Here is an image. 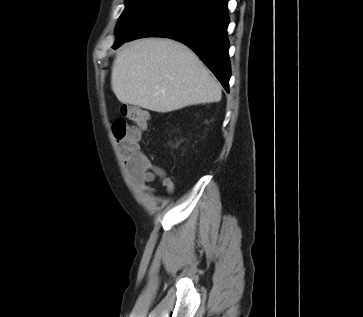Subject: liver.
I'll return each mask as SVG.
<instances>
[{
  "instance_id": "6515ba94",
  "label": "liver",
  "mask_w": 363,
  "mask_h": 317,
  "mask_svg": "<svg viewBox=\"0 0 363 317\" xmlns=\"http://www.w3.org/2000/svg\"><path fill=\"white\" fill-rule=\"evenodd\" d=\"M111 86L121 103L155 112L221 100V86L185 45L145 38L125 45L116 55Z\"/></svg>"
}]
</instances>
